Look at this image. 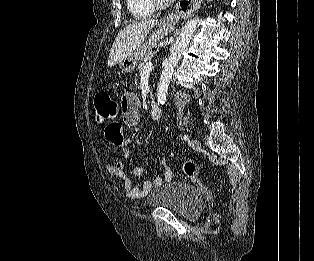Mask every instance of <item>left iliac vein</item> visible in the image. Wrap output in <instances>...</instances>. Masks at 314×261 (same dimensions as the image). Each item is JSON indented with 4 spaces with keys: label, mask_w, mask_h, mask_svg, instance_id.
I'll use <instances>...</instances> for the list:
<instances>
[{
    "label": "left iliac vein",
    "mask_w": 314,
    "mask_h": 261,
    "mask_svg": "<svg viewBox=\"0 0 314 261\" xmlns=\"http://www.w3.org/2000/svg\"><path fill=\"white\" fill-rule=\"evenodd\" d=\"M191 145H192V147H193L195 150H198V149H200V147H201V143H200V141L197 140V139H192Z\"/></svg>",
    "instance_id": "1"
}]
</instances>
